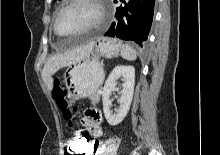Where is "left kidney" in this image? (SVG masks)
<instances>
[{
	"label": "left kidney",
	"instance_id": "1",
	"mask_svg": "<svg viewBox=\"0 0 220 155\" xmlns=\"http://www.w3.org/2000/svg\"><path fill=\"white\" fill-rule=\"evenodd\" d=\"M120 77L124 78L125 82L121 90V97L118 100L120 106L116 110V113L113 114L110 110V95L116 90V80ZM134 85L135 69L133 66L118 65L108 76L102 91V102L105 118L110 125H118L126 117L132 102Z\"/></svg>",
	"mask_w": 220,
	"mask_h": 155
}]
</instances>
